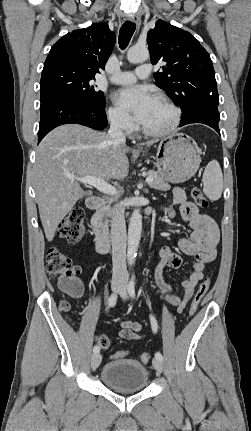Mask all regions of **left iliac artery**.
I'll return each mask as SVG.
<instances>
[{"mask_svg":"<svg viewBox=\"0 0 251 431\" xmlns=\"http://www.w3.org/2000/svg\"><path fill=\"white\" fill-rule=\"evenodd\" d=\"M127 289H128V293L130 294V296L134 298L135 297V275H134V273H133L132 278L128 284ZM150 322H151V327H152L153 332L156 333L158 325H157V320L153 315H150ZM155 357L161 361L163 360V356L160 352H156Z\"/></svg>","mask_w":251,"mask_h":431,"instance_id":"1","label":"left iliac artery"}]
</instances>
